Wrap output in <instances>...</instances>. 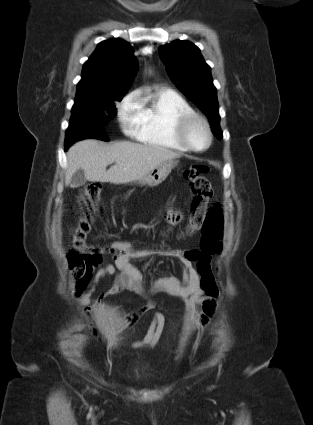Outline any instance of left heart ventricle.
Segmentation results:
<instances>
[{
	"mask_svg": "<svg viewBox=\"0 0 313 425\" xmlns=\"http://www.w3.org/2000/svg\"><path fill=\"white\" fill-rule=\"evenodd\" d=\"M188 139L196 148L205 147L208 138L204 126L201 123H195L188 131Z\"/></svg>",
	"mask_w": 313,
	"mask_h": 425,
	"instance_id": "left-heart-ventricle-1",
	"label": "left heart ventricle"
}]
</instances>
